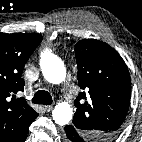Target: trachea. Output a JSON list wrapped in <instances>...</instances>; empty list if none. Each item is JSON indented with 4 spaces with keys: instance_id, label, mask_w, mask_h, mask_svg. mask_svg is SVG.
Segmentation results:
<instances>
[{
    "instance_id": "1",
    "label": "trachea",
    "mask_w": 142,
    "mask_h": 142,
    "mask_svg": "<svg viewBox=\"0 0 142 142\" xmlns=\"http://www.w3.org/2000/svg\"><path fill=\"white\" fill-rule=\"evenodd\" d=\"M32 103L50 105L52 103V97L48 91L39 90L34 94Z\"/></svg>"
}]
</instances>
